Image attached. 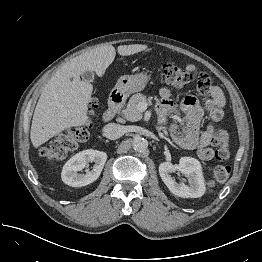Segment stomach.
<instances>
[{
    "mask_svg": "<svg viewBox=\"0 0 262 262\" xmlns=\"http://www.w3.org/2000/svg\"><path fill=\"white\" fill-rule=\"evenodd\" d=\"M149 79L150 76L147 73L123 75L118 79L115 90L122 96L127 97L132 93L142 91L146 87Z\"/></svg>",
    "mask_w": 262,
    "mask_h": 262,
    "instance_id": "obj_1",
    "label": "stomach"
}]
</instances>
